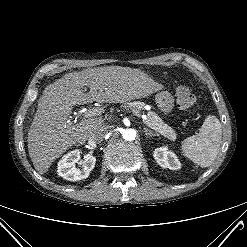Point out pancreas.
Here are the masks:
<instances>
[{
    "instance_id": "obj_1",
    "label": "pancreas",
    "mask_w": 247,
    "mask_h": 247,
    "mask_svg": "<svg viewBox=\"0 0 247 247\" xmlns=\"http://www.w3.org/2000/svg\"><path fill=\"white\" fill-rule=\"evenodd\" d=\"M143 102H132L128 103L127 107H134V110L141 111L144 109ZM143 122L151 129L156 131L157 134H160L171 141H175L177 138L176 132L168 126L163 120L153 111H148L146 118L143 119Z\"/></svg>"
}]
</instances>
